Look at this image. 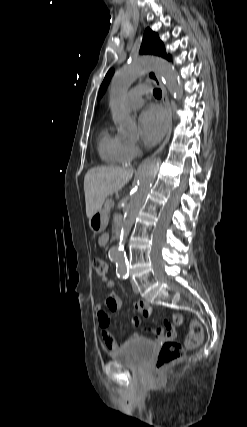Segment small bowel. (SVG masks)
Here are the masks:
<instances>
[{"label": "small bowel", "instance_id": "1", "mask_svg": "<svg viewBox=\"0 0 247 427\" xmlns=\"http://www.w3.org/2000/svg\"><path fill=\"white\" fill-rule=\"evenodd\" d=\"M108 241V235L104 234L99 239V244L104 246ZM115 283L112 280L107 281L106 287L109 289L114 288ZM121 299L115 293H110L107 295L98 305H97V317L99 321V325L102 330V337L104 339L106 347L111 351H116L128 343L135 341L139 338V334L137 332H131L128 334L127 339L122 344H117L113 335L109 330L110 326V312H115L120 310L121 308ZM135 309L137 312L141 313L144 317H149L152 313V308L150 304L144 300H138L135 305ZM172 322L168 320H164L162 326H158L153 329L155 340L158 342H167L173 341L176 332L174 325H181L183 323V316L178 312H172L171 314ZM140 318L134 317L131 320V324L134 327L140 326Z\"/></svg>", "mask_w": 247, "mask_h": 427}]
</instances>
